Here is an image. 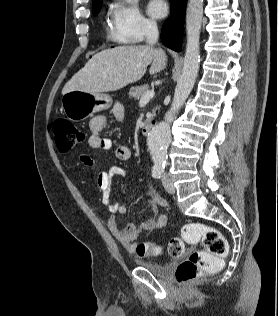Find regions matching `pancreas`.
I'll return each mask as SVG.
<instances>
[{
  "mask_svg": "<svg viewBox=\"0 0 278 316\" xmlns=\"http://www.w3.org/2000/svg\"><path fill=\"white\" fill-rule=\"evenodd\" d=\"M149 90V85H142L132 87L129 91V97L135 100L141 99V97ZM152 115L155 116V110L152 111Z\"/></svg>",
  "mask_w": 278,
  "mask_h": 316,
  "instance_id": "cf45deb5",
  "label": "pancreas"
}]
</instances>
